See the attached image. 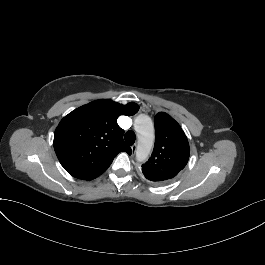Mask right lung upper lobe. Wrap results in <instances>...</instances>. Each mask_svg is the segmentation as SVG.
Returning a JSON list of instances; mask_svg holds the SVG:
<instances>
[{
	"label": "right lung upper lobe",
	"instance_id": "1",
	"mask_svg": "<svg viewBox=\"0 0 265 265\" xmlns=\"http://www.w3.org/2000/svg\"><path fill=\"white\" fill-rule=\"evenodd\" d=\"M138 110L132 102L123 105L100 99L69 113L54 134V149L61 165L78 179L92 180L107 170L118 153L130 155L132 150L123 141L124 130L117 118Z\"/></svg>",
	"mask_w": 265,
	"mask_h": 265
}]
</instances>
